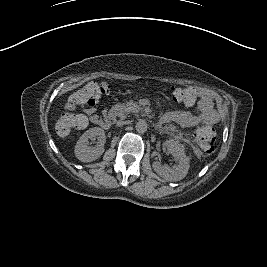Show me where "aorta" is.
<instances>
[{"instance_id": "762f6f07", "label": "aorta", "mask_w": 267, "mask_h": 267, "mask_svg": "<svg viewBox=\"0 0 267 267\" xmlns=\"http://www.w3.org/2000/svg\"><path fill=\"white\" fill-rule=\"evenodd\" d=\"M136 131L139 133H144L147 131L148 128V124L145 120L140 119L136 125H135Z\"/></svg>"}]
</instances>
